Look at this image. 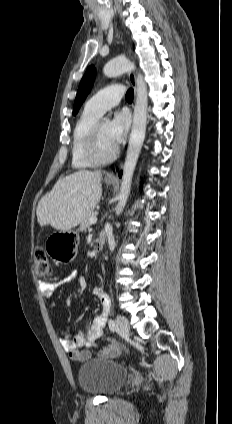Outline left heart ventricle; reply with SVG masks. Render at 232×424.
<instances>
[{
  "label": "left heart ventricle",
  "instance_id": "obj_1",
  "mask_svg": "<svg viewBox=\"0 0 232 424\" xmlns=\"http://www.w3.org/2000/svg\"><path fill=\"white\" fill-rule=\"evenodd\" d=\"M116 146L112 143L109 136V122L102 121L100 125V150L104 156L110 155Z\"/></svg>",
  "mask_w": 232,
  "mask_h": 424
}]
</instances>
